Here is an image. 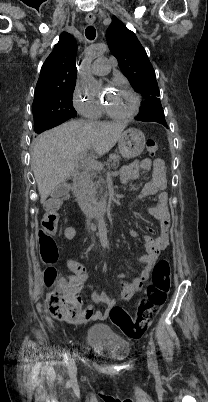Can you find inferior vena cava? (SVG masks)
<instances>
[{
  "label": "inferior vena cava",
  "mask_w": 208,
  "mask_h": 402,
  "mask_svg": "<svg viewBox=\"0 0 208 402\" xmlns=\"http://www.w3.org/2000/svg\"><path fill=\"white\" fill-rule=\"evenodd\" d=\"M79 122H80V124H84V122H86V120H79ZM83 212H84V214H86V218H87L86 224H87V226H88V228H89V226H90L89 216H88L86 210H83Z\"/></svg>",
  "instance_id": "602c4592"
}]
</instances>
